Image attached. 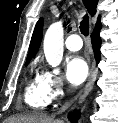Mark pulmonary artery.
<instances>
[{
	"label": "pulmonary artery",
	"mask_w": 118,
	"mask_h": 123,
	"mask_svg": "<svg viewBox=\"0 0 118 123\" xmlns=\"http://www.w3.org/2000/svg\"><path fill=\"white\" fill-rule=\"evenodd\" d=\"M82 45V40L77 34H71L65 40V46L70 51H78L82 48Z\"/></svg>",
	"instance_id": "1"
}]
</instances>
